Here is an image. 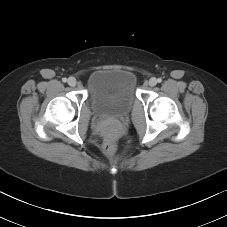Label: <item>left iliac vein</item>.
I'll list each match as a JSON object with an SVG mask.
<instances>
[{"label":"left iliac vein","mask_w":227,"mask_h":227,"mask_svg":"<svg viewBox=\"0 0 227 227\" xmlns=\"http://www.w3.org/2000/svg\"><path fill=\"white\" fill-rule=\"evenodd\" d=\"M149 86L153 87L157 84V79L152 77L150 78L149 82H148Z\"/></svg>","instance_id":"4c4485c4"}]
</instances>
